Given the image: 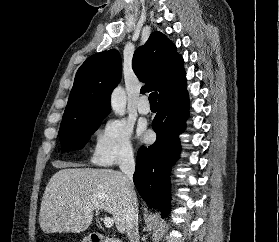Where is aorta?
Returning <instances> with one entry per match:
<instances>
[{"label": "aorta", "instance_id": "762f6f07", "mask_svg": "<svg viewBox=\"0 0 279 242\" xmlns=\"http://www.w3.org/2000/svg\"><path fill=\"white\" fill-rule=\"evenodd\" d=\"M111 107L115 114L123 116L126 111V94L121 87H117L111 96Z\"/></svg>", "mask_w": 279, "mask_h": 242}]
</instances>
